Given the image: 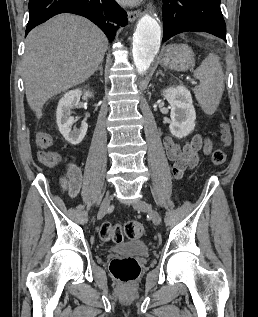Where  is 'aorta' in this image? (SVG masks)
<instances>
[{
  "label": "aorta",
  "instance_id": "762f6f07",
  "mask_svg": "<svg viewBox=\"0 0 258 317\" xmlns=\"http://www.w3.org/2000/svg\"><path fill=\"white\" fill-rule=\"evenodd\" d=\"M161 42V27L158 20L145 14L138 22L133 35V60L139 74L150 67Z\"/></svg>",
  "mask_w": 258,
  "mask_h": 317
}]
</instances>
